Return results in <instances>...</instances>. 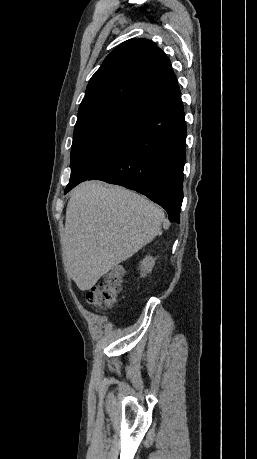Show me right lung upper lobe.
<instances>
[{
  "label": "right lung upper lobe",
  "instance_id": "cb5924a9",
  "mask_svg": "<svg viewBox=\"0 0 257 459\" xmlns=\"http://www.w3.org/2000/svg\"><path fill=\"white\" fill-rule=\"evenodd\" d=\"M170 60L147 39H130L116 47L90 79L78 115L121 106L139 110L174 88Z\"/></svg>",
  "mask_w": 257,
  "mask_h": 459
}]
</instances>
